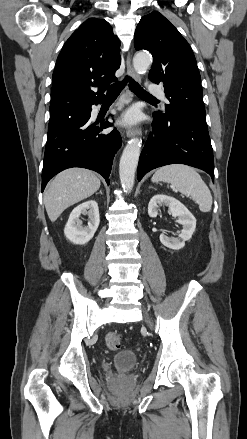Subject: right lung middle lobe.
<instances>
[{"label": "right lung middle lobe", "mask_w": 247, "mask_h": 439, "mask_svg": "<svg viewBox=\"0 0 247 439\" xmlns=\"http://www.w3.org/2000/svg\"><path fill=\"white\" fill-rule=\"evenodd\" d=\"M84 105L72 107L65 110H60L56 112H50V120L49 125L53 124L61 119L69 117L74 111L78 110L79 108H82Z\"/></svg>", "instance_id": "obj_1"}]
</instances>
